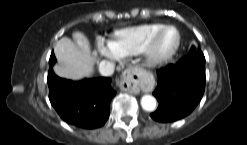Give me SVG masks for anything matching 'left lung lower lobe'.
<instances>
[{
    "instance_id": "0a47b994",
    "label": "left lung lower lobe",
    "mask_w": 247,
    "mask_h": 145,
    "mask_svg": "<svg viewBox=\"0 0 247 145\" xmlns=\"http://www.w3.org/2000/svg\"><path fill=\"white\" fill-rule=\"evenodd\" d=\"M153 92L159 106L151 117L171 122L189 115L199 103L205 89V57L200 49L158 71Z\"/></svg>"
}]
</instances>
